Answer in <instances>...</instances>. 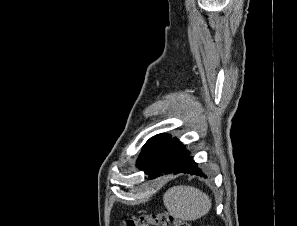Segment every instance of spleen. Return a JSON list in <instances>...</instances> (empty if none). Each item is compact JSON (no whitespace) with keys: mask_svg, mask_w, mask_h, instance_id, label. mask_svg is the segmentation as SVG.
<instances>
[{"mask_svg":"<svg viewBox=\"0 0 297 226\" xmlns=\"http://www.w3.org/2000/svg\"><path fill=\"white\" fill-rule=\"evenodd\" d=\"M169 214L184 221H194L206 215L211 209V199L198 188L177 185L169 188L163 196Z\"/></svg>","mask_w":297,"mask_h":226,"instance_id":"3e777b00","label":"spleen"}]
</instances>
